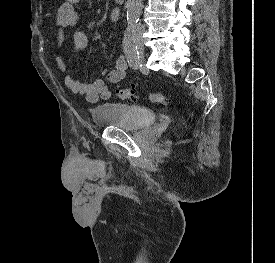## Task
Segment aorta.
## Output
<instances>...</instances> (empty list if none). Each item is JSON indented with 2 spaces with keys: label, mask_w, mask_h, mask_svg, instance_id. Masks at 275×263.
Returning a JSON list of instances; mask_svg holds the SVG:
<instances>
[{
  "label": "aorta",
  "mask_w": 275,
  "mask_h": 263,
  "mask_svg": "<svg viewBox=\"0 0 275 263\" xmlns=\"http://www.w3.org/2000/svg\"><path fill=\"white\" fill-rule=\"evenodd\" d=\"M143 8V0H128L127 2V22L128 25L134 26L139 21Z\"/></svg>",
  "instance_id": "1"
}]
</instances>
